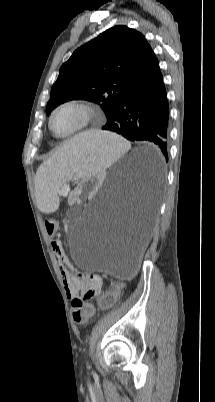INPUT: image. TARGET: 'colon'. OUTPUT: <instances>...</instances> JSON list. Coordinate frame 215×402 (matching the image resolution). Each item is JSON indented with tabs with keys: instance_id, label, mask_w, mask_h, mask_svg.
I'll return each mask as SVG.
<instances>
[{
	"instance_id": "colon-1",
	"label": "colon",
	"mask_w": 215,
	"mask_h": 402,
	"mask_svg": "<svg viewBox=\"0 0 215 402\" xmlns=\"http://www.w3.org/2000/svg\"><path fill=\"white\" fill-rule=\"evenodd\" d=\"M45 227L48 235L55 238L58 234V223L54 219H48L45 222ZM81 276L91 277L92 274H82ZM123 284L117 283L114 289L110 292L102 294L98 299L100 309H108L114 305L117 298H123L125 291L122 289ZM94 293L90 292L84 297H76L72 302V315L73 319L78 324H83L92 315V308L87 304V301L92 298Z\"/></svg>"
}]
</instances>
